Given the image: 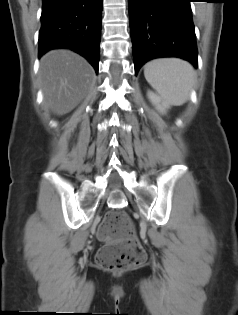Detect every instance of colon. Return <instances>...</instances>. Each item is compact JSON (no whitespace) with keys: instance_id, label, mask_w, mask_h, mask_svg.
I'll return each mask as SVG.
<instances>
[{"instance_id":"1","label":"colon","mask_w":238,"mask_h":315,"mask_svg":"<svg viewBox=\"0 0 238 315\" xmlns=\"http://www.w3.org/2000/svg\"><path fill=\"white\" fill-rule=\"evenodd\" d=\"M98 236L106 242L96 258L103 268L120 271L144 262L145 252L125 212L115 210L107 213L99 226Z\"/></svg>"}]
</instances>
